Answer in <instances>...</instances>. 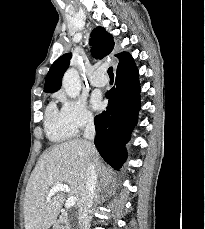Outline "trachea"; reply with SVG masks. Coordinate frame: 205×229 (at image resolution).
<instances>
[{
    "instance_id": "obj_1",
    "label": "trachea",
    "mask_w": 205,
    "mask_h": 229,
    "mask_svg": "<svg viewBox=\"0 0 205 229\" xmlns=\"http://www.w3.org/2000/svg\"><path fill=\"white\" fill-rule=\"evenodd\" d=\"M108 74H109L110 78H113V67H110L108 69Z\"/></svg>"
}]
</instances>
